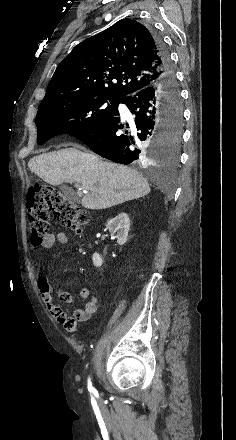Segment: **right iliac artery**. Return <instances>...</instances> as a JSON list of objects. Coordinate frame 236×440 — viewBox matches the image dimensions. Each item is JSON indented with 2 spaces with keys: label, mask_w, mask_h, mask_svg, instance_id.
I'll return each instance as SVG.
<instances>
[{
  "label": "right iliac artery",
  "mask_w": 236,
  "mask_h": 440,
  "mask_svg": "<svg viewBox=\"0 0 236 440\" xmlns=\"http://www.w3.org/2000/svg\"><path fill=\"white\" fill-rule=\"evenodd\" d=\"M88 390L93 393L96 392L95 388L92 386L90 379H88Z\"/></svg>",
  "instance_id": "obj_1"
}]
</instances>
